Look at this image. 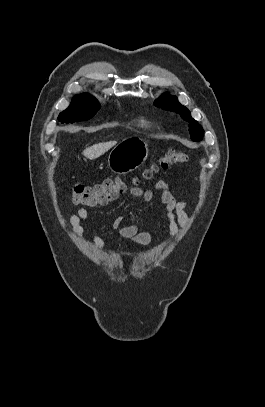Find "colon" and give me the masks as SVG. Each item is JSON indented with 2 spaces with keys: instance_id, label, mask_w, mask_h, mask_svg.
<instances>
[{
  "instance_id": "obj_1",
  "label": "colon",
  "mask_w": 265,
  "mask_h": 407,
  "mask_svg": "<svg viewBox=\"0 0 265 407\" xmlns=\"http://www.w3.org/2000/svg\"><path fill=\"white\" fill-rule=\"evenodd\" d=\"M186 153L178 149H169L160 159L151 164L143 173L145 178L150 177L160 168L187 162ZM127 189V183L120 177L107 178L93 185L76 184L72 188V201L76 205L93 207L107 203L122 194Z\"/></svg>"
}]
</instances>
